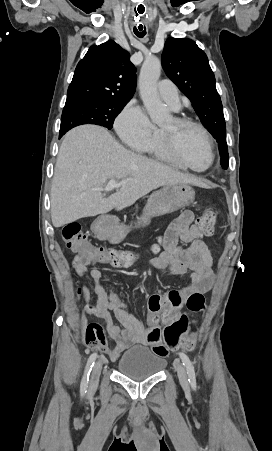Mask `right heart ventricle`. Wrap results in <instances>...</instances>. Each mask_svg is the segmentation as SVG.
<instances>
[{
	"label": "right heart ventricle",
	"instance_id": "e07e8e85",
	"mask_svg": "<svg viewBox=\"0 0 272 451\" xmlns=\"http://www.w3.org/2000/svg\"><path fill=\"white\" fill-rule=\"evenodd\" d=\"M169 145L170 144L168 143V149L167 150H165L163 148L162 141H161V131L160 130H156V132L154 133V136L152 137V139L148 143H146L145 145L140 146L138 148L140 150L146 151V152H148L150 154H155L156 156L163 157V156L168 155Z\"/></svg>",
	"mask_w": 272,
	"mask_h": 451
}]
</instances>
